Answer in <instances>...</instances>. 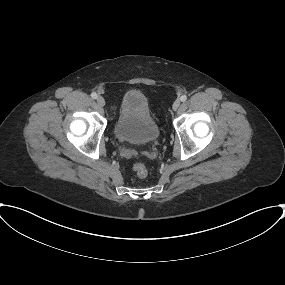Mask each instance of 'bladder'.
Listing matches in <instances>:
<instances>
[{"mask_svg":"<svg viewBox=\"0 0 285 285\" xmlns=\"http://www.w3.org/2000/svg\"><path fill=\"white\" fill-rule=\"evenodd\" d=\"M114 133L119 140L135 145H147L158 140L159 126L146 95L140 90H129L123 95Z\"/></svg>","mask_w":285,"mask_h":285,"instance_id":"obj_1","label":"bladder"}]
</instances>
